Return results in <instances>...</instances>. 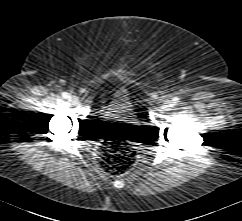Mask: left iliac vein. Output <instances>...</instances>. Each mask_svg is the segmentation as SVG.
I'll list each match as a JSON object with an SVG mask.
<instances>
[{
	"instance_id": "left-iliac-vein-1",
	"label": "left iliac vein",
	"mask_w": 242,
	"mask_h": 221,
	"mask_svg": "<svg viewBox=\"0 0 242 221\" xmlns=\"http://www.w3.org/2000/svg\"><path fill=\"white\" fill-rule=\"evenodd\" d=\"M169 105H170V103H169V102H167V103H166V106H169Z\"/></svg>"
}]
</instances>
